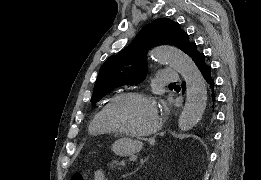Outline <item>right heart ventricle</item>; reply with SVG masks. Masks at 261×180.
Returning a JSON list of instances; mask_svg holds the SVG:
<instances>
[{"mask_svg":"<svg viewBox=\"0 0 261 180\" xmlns=\"http://www.w3.org/2000/svg\"><path fill=\"white\" fill-rule=\"evenodd\" d=\"M106 104L101 106L92 116L89 124H88V135L92 140L98 142H106L116 138L113 136L108 129L105 127L103 119H102V110Z\"/></svg>","mask_w":261,"mask_h":180,"instance_id":"e07e8e85","label":"right heart ventricle"}]
</instances>
